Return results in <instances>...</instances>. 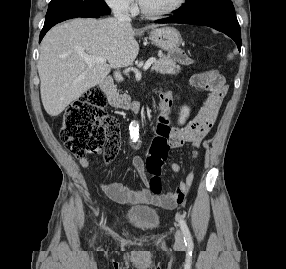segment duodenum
Returning a JSON list of instances; mask_svg holds the SVG:
<instances>
[{"mask_svg":"<svg viewBox=\"0 0 286 269\" xmlns=\"http://www.w3.org/2000/svg\"><path fill=\"white\" fill-rule=\"evenodd\" d=\"M100 86L110 107L119 109H138L137 103H131L128 99L120 96L117 93L111 77L104 78L101 81Z\"/></svg>","mask_w":286,"mask_h":269,"instance_id":"410a0bca","label":"duodenum"}]
</instances>
